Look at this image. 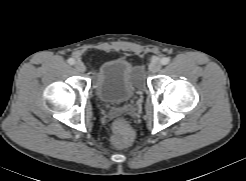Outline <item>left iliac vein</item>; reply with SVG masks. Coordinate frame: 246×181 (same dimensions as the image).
<instances>
[{
	"label": "left iliac vein",
	"mask_w": 246,
	"mask_h": 181,
	"mask_svg": "<svg viewBox=\"0 0 246 181\" xmlns=\"http://www.w3.org/2000/svg\"><path fill=\"white\" fill-rule=\"evenodd\" d=\"M161 63L159 61H153L149 65V70L152 73H156L161 69Z\"/></svg>",
	"instance_id": "1"
}]
</instances>
